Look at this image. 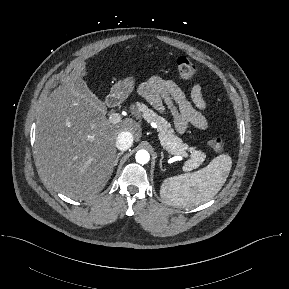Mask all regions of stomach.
Wrapping results in <instances>:
<instances>
[{
	"instance_id": "obj_1",
	"label": "stomach",
	"mask_w": 289,
	"mask_h": 289,
	"mask_svg": "<svg viewBox=\"0 0 289 289\" xmlns=\"http://www.w3.org/2000/svg\"><path fill=\"white\" fill-rule=\"evenodd\" d=\"M134 86L135 78L129 76L116 82L111 88V93L113 96L124 99L133 91Z\"/></svg>"
}]
</instances>
